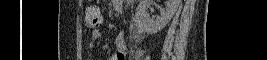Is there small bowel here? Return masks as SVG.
<instances>
[{
	"mask_svg": "<svg viewBox=\"0 0 267 60\" xmlns=\"http://www.w3.org/2000/svg\"><path fill=\"white\" fill-rule=\"evenodd\" d=\"M124 1L121 0H115L113 1V7L118 10L121 9L123 6ZM102 34L101 31H93L90 35V42L89 46L92 48L96 44H98L101 40ZM115 44H116V51L113 53V55L109 58L110 60H126L127 56V45L125 41V36L123 32H120L116 39H115Z\"/></svg>",
	"mask_w": 267,
	"mask_h": 60,
	"instance_id": "small-bowel-1",
	"label": "small bowel"
}]
</instances>
